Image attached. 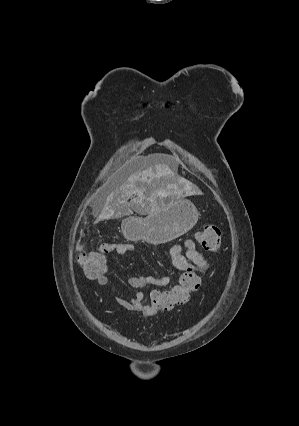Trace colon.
<instances>
[{
  "mask_svg": "<svg viewBox=\"0 0 299 426\" xmlns=\"http://www.w3.org/2000/svg\"><path fill=\"white\" fill-rule=\"evenodd\" d=\"M199 245L203 250L217 253L221 249V231L216 225H204L195 234L194 240L187 246L193 249ZM108 245H101L97 250L84 252L78 247L77 263L89 278H96L102 271ZM200 286L198 269L189 265L179 276L178 282L167 288H155L148 293L149 303L160 311H170L185 304L192 292Z\"/></svg>",
  "mask_w": 299,
  "mask_h": 426,
  "instance_id": "5ec220e1",
  "label": "colon"
}]
</instances>
